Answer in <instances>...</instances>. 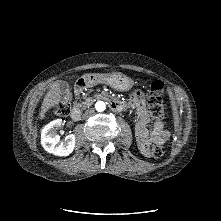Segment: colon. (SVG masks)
<instances>
[{"label": "colon", "instance_id": "obj_1", "mask_svg": "<svg viewBox=\"0 0 221 221\" xmlns=\"http://www.w3.org/2000/svg\"><path fill=\"white\" fill-rule=\"evenodd\" d=\"M164 93L163 84L160 81H154L149 88L148 109L150 114L157 119H162L165 116V108L162 101ZM71 108L70 96L64 97L57 105L55 113L65 116L69 114ZM164 147L161 143L154 145L149 150V156L158 159L164 154Z\"/></svg>", "mask_w": 221, "mask_h": 221}]
</instances>
